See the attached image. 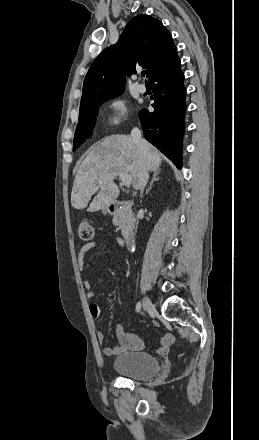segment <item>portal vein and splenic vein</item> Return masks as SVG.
<instances>
[{
	"label": "portal vein and splenic vein",
	"instance_id": "1",
	"mask_svg": "<svg viewBox=\"0 0 259 440\" xmlns=\"http://www.w3.org/2000/svg\"><path fill=\"white\" fill-rule=\"evenodd\" d=\"M119 178L125 186H130L132 177L126 173L119 174Z\"/></svg>",
	"mask_w": 259,
	"mask_h": 440
}]
</instances>
